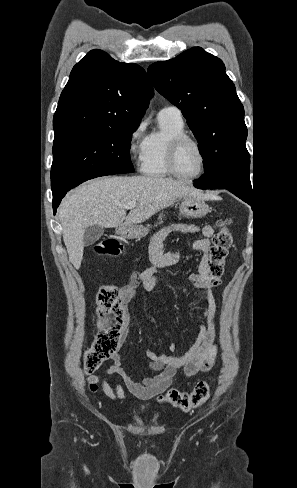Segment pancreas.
<instances>
[{
    "label": "pancreas",
    "instance_id": "obj_1",
    "mask_svg": "<svg viewBox=\"0 0 297 488\" xmlns=\"http://www.w3.org/2000/svg\"><path fill=\"white\" fill-rule=\"evenodd\" d=\"M158 219L160 220V222H159V223L161 224V223L163 222V221H162V220H163V214H160V215H159V217H158ZM156 226H157V225H156Z\"/></svg>",
    "mask_w": 297,
    "mask_h": 488
}]
</instances>
